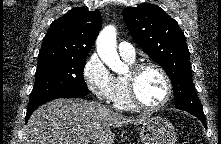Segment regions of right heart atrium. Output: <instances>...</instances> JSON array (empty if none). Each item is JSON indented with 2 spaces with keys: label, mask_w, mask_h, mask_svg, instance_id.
I'll list each match as a JSON object with an SVG mask.
<instances>
[{
  "label": "right heart atrium",
  "mask_w": 221,
  "mask_h": 144,
  "mask_svg": "<svg viewBox=\"0 0 221 144\" xmlns=\"http://www.w3.org/2000/svg\"><path fill=\"white\" fill-rule=\"evenodd\" d=\"M83 78L88 89L100 100L115 99L118 86L114 75L97 54H92L83 68Z\"/></svg>",
  "instance_id": "d8ad5b80"
}]
</instances>
